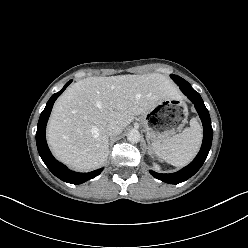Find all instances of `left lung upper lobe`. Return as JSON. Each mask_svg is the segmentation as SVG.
<instances>
[{
	"label": "left lung upper lobe",
	"mask_w": 248,
	"mask_h": 248,
	"mask_svg": "<svg viewBox=\"0 0 248 248\" xmlns=\"http://www.w3.org/2000/svg\"><path fill=\"white\" fill-rule=\"evenodd\" d=\"M171 78L177 83L180 87H189L191 86L186 80L183 78L177 76V75H171Z\"/></svg>",
	"instance_id": "left-lung-upper-lobe-1"
}]
</instances>
